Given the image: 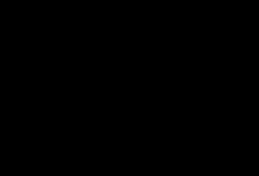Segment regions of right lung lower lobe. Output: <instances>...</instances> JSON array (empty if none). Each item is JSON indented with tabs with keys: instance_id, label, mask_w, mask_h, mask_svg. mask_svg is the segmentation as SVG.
I'll return each instance as SVG.
<instances>
[{
	"instance_id": "98d812e1",
	"label": "right lung lower lobe",
	"mask_w": 259,
	"mask_h": 176,
	"mask_svg": "<svg viewBox=\"0 0 259 176\" xmlns=\"http://www.w3.org/2000/svg\"><path fill=\"white\" fill-rule=\"evenodd\" d=\"M106 139H104V141H105ZM104 141H102L101 143H100V145L101 144H103L104 143ZM53 144V143H52ZM56 146V145H55ZM61 152H63L64 154H67L68 156H71V157H76V156H78V155H80V153H75V154H73V153H70L69 151H66L65 149H62V148H60V147H58V146H56ZM97 147H93V148H90V149H88V150H86V151H84V153H90V152H93V151H95V149H96Z\"/></svg>"
}]
</instances>
